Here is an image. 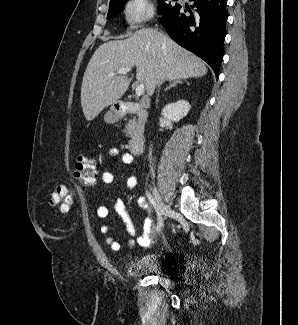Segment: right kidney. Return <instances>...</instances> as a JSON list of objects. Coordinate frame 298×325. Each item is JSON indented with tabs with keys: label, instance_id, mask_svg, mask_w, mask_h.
<instances>
[{
	"label": "right kidney",
	"instance_id": "right-kidney-1",
	"mask_svg": "<svg viewBox=\"0 0 298 325\" xmlns=\"http://www.w3.org/2000/svg\"><path fill=\"white\" fill-rule=\"evenodd\" d=\"M191 108V104H189L188 100H177V102H168L165 104L161 110L162 116L166 118V120H173V122H177L183 116L188 114Z\"/></svg>",
	"mask_w": 298,
	"mask_h": 325
}]
</instances>
